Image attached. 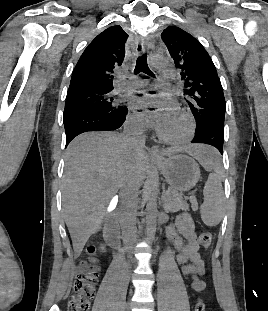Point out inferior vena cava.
I'll return each instance as SVG.
<instances>
[{
  "instance_id": "inferior-vena-cava-1",
  "label": "inferior vena cava",
  "mask_w": 268,
  "mask_h": 311,
  "mask_svg": "<svg viewBox=\"0 0 268 311\" xmlns=\"http://www.w3.org/2000/svg\"><path fill=\"white\" fill-rule=\"evenodd\" d=\"M127 140L136 144L135 148L139 149L143 146L142 142H137L135 138L127 133L123 134ZM121 204L119 209L120 224L123 234V241L126 246H133L137 241L136 228V207L138 199V190L131 186L122 190Z\"/></svg>"
}]
</instances>
